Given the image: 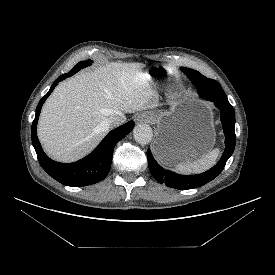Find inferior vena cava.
Masks as SVG:
<instances>
[{
  "mask_svg": "<svg viewBox=\"0 0 275 275\" xmlns=\"http://www.w3.org/2000/svg\"><path fill=\"white\" fill-rule=\"evenodd\" d=\"M126 121V117L122 112H117L113 115H111L107 120H106V124L110 127V128H114L117 127L123 123H125Z\"/></svg>",
  "mask_w": 275,
  "mask_h": 275,
  "instance_id": "1",
  "label": "inferior vena cava"
}]
</instances>
